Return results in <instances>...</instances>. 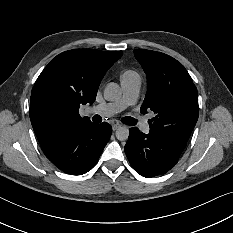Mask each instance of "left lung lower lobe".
<instances>
[{
  "label": "left lung lower lobe",
  "mask_w": 233,
  "mask_h": 233,
  "mask_svg": "<svg viewBox=\"0 0 233 233\" xmlns=\"http://www.w3.org/2000/svg\"><path fill=\"white\" fill-rule=\"evenodd\" d=\"M124 147L132 167L143 177L151 178L169 171L177 162L186 143L144 134L138 128L129 129Z\"/></svg>",
  "instance_id": "1"
}]
</instances>
